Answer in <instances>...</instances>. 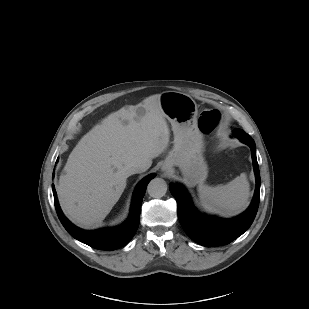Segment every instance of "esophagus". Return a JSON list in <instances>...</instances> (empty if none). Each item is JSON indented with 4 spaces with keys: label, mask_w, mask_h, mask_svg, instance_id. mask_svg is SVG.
<instances>
[{
    "label": "esophagus",
    "mask_w": 309,
    "mask_h": 309,
    "mask_svg": "<svg viewBox=\"0 0 309 309\" xmlns=\"http://www.w3.org/2000/svg\"><path fill=\"white\" fill-rule=\"evenodd\" d=\"M166 169H167V167H166V166H163V167H162V170H163V171H165Z\"/></svg>",
    "instance_id": "34e87169"
}]
</instances>
